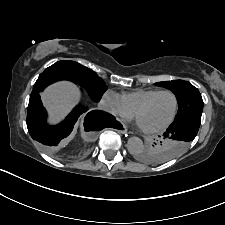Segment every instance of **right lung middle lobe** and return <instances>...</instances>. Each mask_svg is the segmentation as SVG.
Here are the masks:
<instances>
[{"label": "right lung middle lobe", "instance_id": "dd1d6c3e", "mask_svg": "<svg viewBox=\"0 0 225 225\" xmlns=\"http://www.w3.org/2000/svg\"><path fill=\"white\" fill-rule=\"evenodd\" d=\"M43 73H58L67 76L84 88L89 96L98 101L107 90L105 82L91 69L73 61H58Z\"/></svg>", "mask_w": 225, "mask_h": 225}]
</instances>
